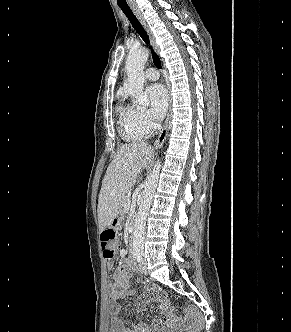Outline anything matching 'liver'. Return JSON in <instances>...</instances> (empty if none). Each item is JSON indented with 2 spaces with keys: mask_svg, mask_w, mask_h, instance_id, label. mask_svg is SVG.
<instances>
[{
  "mask_svg": "<svg viewBox=\"0 0 291 332\" xmlns=\"http://www.w3.org/2000/svg\"><path fill=\"white\" fill-rule=\"evenodd\" d=\"M154 154L153 148L138 142L123 145L109 164L98 198V225L104 231L120 213L122 196L134 185Z\"/></svg>",
  "mask_w": 291,
  "mask_h": 332,
  "instance_id": "6515ba94",
  "label": "liver"
}]
</instances>
